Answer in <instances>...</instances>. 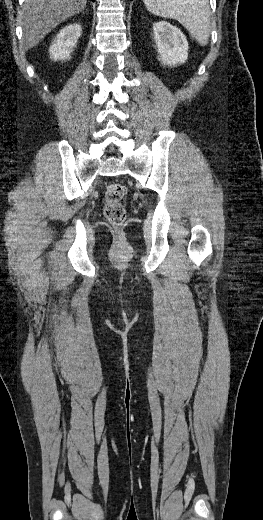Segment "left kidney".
Segmentation results:
<instances>
[{
	"mask_svg": "<svg viewBox=\"0 0 263 520\" xmlns=\"http://www.w3.org/2000/svg\"><path fill=\"white\" fill-rule=\"evenodd\" d=\"M154 39L159 60L163 65L176 66L188 58V43L185 35L175 26L160 21L153 25Z\"/></svg>",
	"mask_w": 263,
	"mask_h": 520,
	"instance_id": "1",
	"label": "left kidney"
}]
</instances>
